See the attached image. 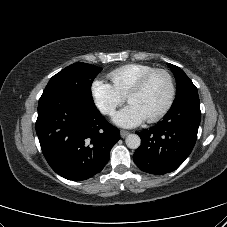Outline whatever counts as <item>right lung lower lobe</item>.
<instances>
[{"label":"right lung lower lobe","instance_id":"obj_1","mask_svg":"<svg viewBox=\"0 0 227 227\" xmlns=\"http://www.w3.org/2000/svg\"><path fill=\"white\" fill-rule=\"evenodd\" d=\"M36 133L51 168L73 181L99 173L120 139L119 129L107 122L94 103L68 91L41 96Z\"/></svg>","mask_w":227,"mask_h":227}]
</instances>
